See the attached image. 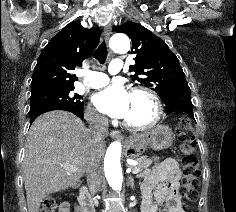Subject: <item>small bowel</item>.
<instances>
[{
  "label": "small bowel",
  "mask_w": 236,
  "mask_h": 212,
  "mask_svg": "<svg viewBox=\"0 0 236 212\" xmlns=\"http://www.w3.org/2000/svg\"><path fill=\"white\" fill-rule=\"evenodd\" d=\"M179 176L174 159H166L152 168L142 184V212H185L177 194ZM59 212H70V205L62 203Z\"/></svg>",
  "instance_id": "small-bowel-1"
}]
</instances>
